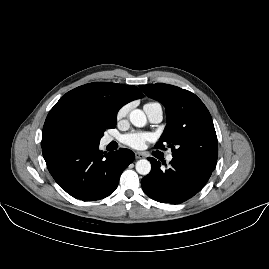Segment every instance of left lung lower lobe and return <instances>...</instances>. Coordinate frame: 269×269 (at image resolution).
<instances>
[{"mask_svg":"<svg viewBox=\"0 0 269 269\" xmlns=\"http://www.w3.org/2000/svg\"><path fill=\"white\" fill-rule=\"evenodd\" d=\"M151 172L142 178L143 191L161 203L178 204L193 197L207 183L214 169L173 157L168 169L149 157ZM164 165H166L163 162Z\"/></svg>","mask_w":269,"mask_h":269,"instance_id":"obj_1","label":"left lung lower lobe"}]
</instances>
